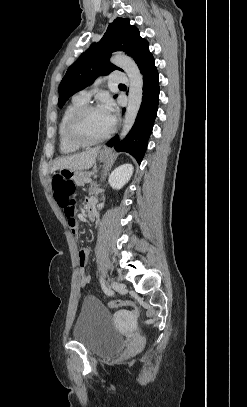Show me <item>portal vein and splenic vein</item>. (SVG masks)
I'll return each mask as SVG.
<instances>
[{"label":"portal vein and splenic vein","mask_w":247,"mask_h":407,"mask_svg":"<svg viewBox=\"0 0 247 407\" xmlns=\"http://www.w3.org/2000/svg\"><path fill=\"white\" fill-rule=\"evenodd\" d=\"M86 182H87V183H88V182H91V179H90V178L86 179Z\"/></svg>","instance_id":"18ae733b"}]
</instances>
